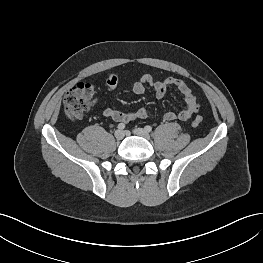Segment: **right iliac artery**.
Segmentation results:
<instances>
[{"label": "right iliac artery", "instance_id": "obj_1", "mask_svg": "<svg viewBox=\"0 0 263 263\" xmlns=\"http://www.w3.org/2000/svg\"><path fill=\"white\" fill-rule=\"evenodd\" d=\"M125 124L124 123H120V124H118V126H117V128L119 129V130H123V129H125Z\"/></svg>", "mask_w": 263, "mask_h": 263}]
</instances>
